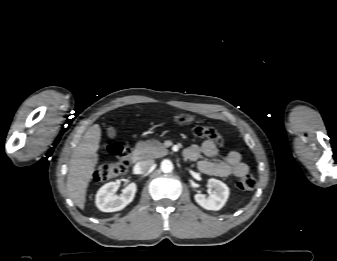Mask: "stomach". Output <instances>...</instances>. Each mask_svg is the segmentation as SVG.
Wrapping results in <instances>:
<instances>
[{
	"instance_id": "obj_1",
	"label": "stomach",
	"mask_w": 337,
	"mask_h": 261,
	"mask_svg": "<svg viewBox=\"0 0 337 261\" xmlns=\"http://www.w3.org/2000/svg\"><path fill=\"white\" fill-rule=\"evenodd\" d=\"M195 120H196V117L188 113L178 114L173 117V122L180 126L189 125L193 123Z\"/></svg>"
}]
</instances>
